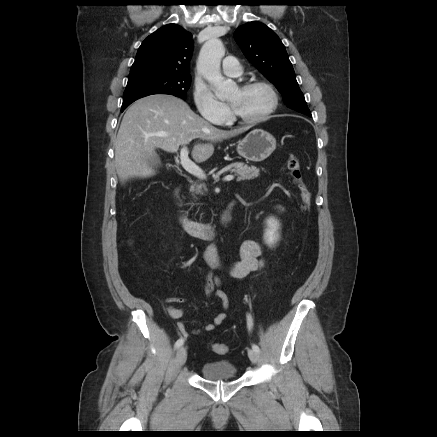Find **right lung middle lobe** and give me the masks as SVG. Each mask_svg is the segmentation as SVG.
Masks as SVG:
<instances>
[{
    "instance_id": "1",
    "label": "right lung middle lobe",
    "mask_w": 437,
    "mask_h": 437,
    "mask_svg": "<svg viewBox=\"0 0 437 437\" xmlns=\"http://www.w3.org/2000/svg\"><path fill=\"white\" fill-rule=\"evenodd\" d=\"M190 83V75H174L150 70L130 72L121 109L128 107L139 98L153 94H170L185 99Z\"/></svg>"
}]
</instances>
